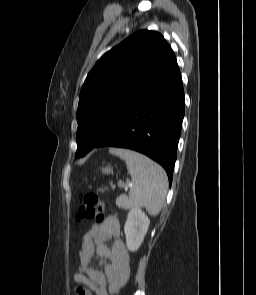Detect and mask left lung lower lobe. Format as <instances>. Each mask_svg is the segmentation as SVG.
<instances>
[{
    "instance_id": "left-lung-lower-lobe-1",
    "label": "left lung lower lobe",
    "mask_w": 256,
    "mask_h": 295,
    "mask_svg": "<svg viewBox=\"0 0 256 295\" xmlns=\"http://www.w3.org/2000/svg\"><path fill=\"white\" fill-rule=\"evenodd\" d=\"M184 109L178 69L95 147H121L143 153L164 167L171 185Z\"/></svg>"
}]
</instances>
